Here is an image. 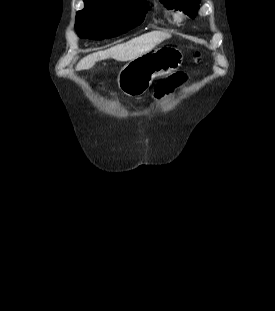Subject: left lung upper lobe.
I'll return each mask as SVG.
<instances>
[{
    "label": "left lung upper lobe",
    "mask_w": 275,
    "mask_h": 311,
    "mask_svg": "<svg viewBox=\"0 0 275 311\" xmlns=\"http://www.w3.org/2000/svg\"><path fill=\"white\" fill-rule=\"evenodd\" d=\"M169 9L182 10L194 18L199 9L200 0H160Z\"/></svg>",
    "instance_id": "obj_1"
}]
</instances>
